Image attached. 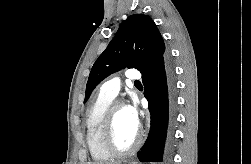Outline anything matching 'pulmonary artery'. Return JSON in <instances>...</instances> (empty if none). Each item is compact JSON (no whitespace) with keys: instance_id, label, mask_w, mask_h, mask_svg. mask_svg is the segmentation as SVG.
<instances>
[{"instance_id":"pulmonary-artery-1","label":"pulmonary artery","mask_w":251,"mask_h":164,"mask_svg":"<svg viewBox=\"0 0 251 164\" xmlns=\"http://www.w3.org/2000/svg\"><path fill=\"white\" fill-rule=\"evenodd\" d=\"M126 78L129 81H137L141 78V74L135 69H129L125 73ZM121 86V80L118 77H115L107 82H105L101 89L100 93L109 97H116L119 93Z\"/></svg>"}]
</instances>
